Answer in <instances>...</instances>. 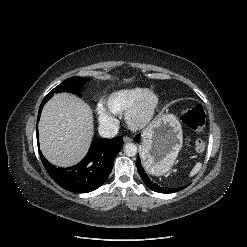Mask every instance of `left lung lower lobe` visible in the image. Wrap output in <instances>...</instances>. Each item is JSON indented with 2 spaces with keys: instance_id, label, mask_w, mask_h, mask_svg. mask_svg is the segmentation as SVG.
Segmentation results:
<instances>
[{
  "instance_id": "obj_1",
  "label": "left lung lower lobe",
  "mask_w": 247,
  "mask_h": 247,
  "mask_svg": "<svg viewBox=\"0 0 247 247\" xmlns=\"http://www.w3.org/2000/svg\"><path fill=\"white\" fill-rule=\"evenodd\" d=\"M138 135L136 136V140H137ZM136 166H137V170L142 178V180L144 181V183L152 190L155 192H159V193H174L177 191H180L184 188H186L188 185L183 186V187H179V188H167V187H161L158 184H156L155 182H153L148 175L145 173L142 165H141V161L140 158H137L136 160Z\"/></svg>"
}]
</instances>
